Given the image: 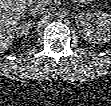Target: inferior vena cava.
Here are the masks:
<instances>
[{
	"mask_svg": "<svg viewBox=\"0 0 111 106\" xmlns=\"http://www.w3.org/2000/svg\"><path fill=\"white\" fill-rule=\"evenodd\" d=\"M46 5H47V1H43V0L33 1L30 3L31 12L36 15L43 14L47 12Z\"/></svg>",
	"mask_w": 111,
	"mask_h": 106,
	"instance_id": "602c4592",
	"label": "inferior vena cava"
}]
</instances>
